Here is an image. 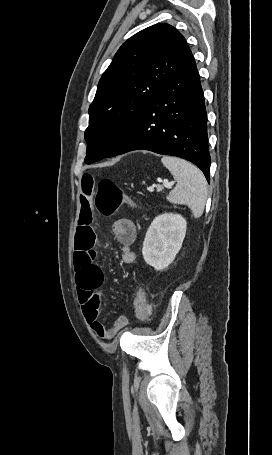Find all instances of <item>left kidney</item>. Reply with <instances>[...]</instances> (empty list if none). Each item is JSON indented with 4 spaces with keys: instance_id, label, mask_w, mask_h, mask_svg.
Listing matches in <instances>:
<instances>
[{
    "instance_id": "1",
    "label": "left kidney",
    "mask_w": 272,
    "mask_h": 455,
    "mask_svg": "<svg viewBox=\"0 0 272 455\" xmlns=\"http://www.w3.org/2000/svg\"><path fill=\"white\" fill-rule=\"evenodd\" d=\"M187 222L179 214L164 213L152 221L142 248L145 262L161 271L167 268L181 249Z\"/></svg>"
}]
</instances>
